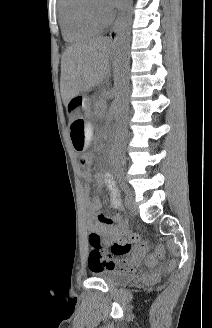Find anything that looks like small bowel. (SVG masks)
Masks as SVG:
<instances>
[{
  "mask_svg": "<svg viewBox=\"0 0 212 328\" xmlns=\"http://www.w3.org/2000/svg\"><path fill=\"white\" fill-rule=\"evenodd\" d=\"M82 177L87 182H93L98 189L105 188L109 194L110 205L113 209H121L122 202L113 176L110 173H95L91 170H82ZM86 209L89 215L88 229L102 236L106 244L123 239L129 232L128 224L123 220L121 214L106 215L101 211V201L98 197H89V188L86 192ZM144 252L136 253L132 260L115 264L120 270L133 271L140 264ZM89 265V264H88ZM90 270L97 271L102 268L89 265Z\"/></svg>",
  "mask_w": 212,
  "mask_h": 328,
  "instance_id": "c3829d8e",
  "label": "small bowel"
}]
</instances>
